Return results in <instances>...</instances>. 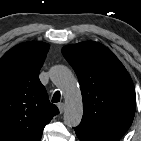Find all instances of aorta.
I'll list each match as a JSON object with an SVG mask.
<instances>
[{"label":"aorta","mask_w":141,"mask_h":141,"mask_svg":"<svg viewBox=\"0 0 141 141\" xmlns=\"http://www.w3.org/2000/svg\"><path fill=\"white\" fill-rule=\"evenodd\" d=\"M50 78L59 87L65 99L64 123L69 127L80 124L83 115L82 95L70 69L55 65L50 70Z\"/></svg>","instance_id":"1"}]
</instances>
